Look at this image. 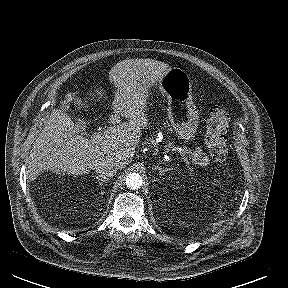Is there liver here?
Instances as JSON below:
<instances>
[{"mask_svg": "<svg viewBox=\"0 0 288 288\" xmlns=\"http://www.w3.org/2000/svg\"><path fill=\"white\" fill-rule=\"evenodd\" d=\"M170 69L168 64L149 58L117 63L109 72V79L117 89L112 103L115 114L109 117L114 126L108 127L98 141L77 135L69 116L54 109L30 151L28 178L34 180L46 170L88 174L103 159H113L118 168L125 167L135 155L142 129L149 125L145 112L150 88ZM95 93L98 98L103 96L99 89ZM66 100L81 103L75 93H68ZM120 116L128 121L121 123Z\"/></svg>", "mask_w": 288, "mask_h": 288, "instance_id": "1", "label": "liver"}]
</instances>
